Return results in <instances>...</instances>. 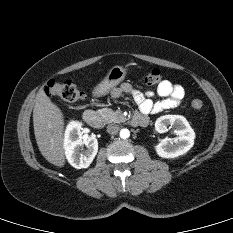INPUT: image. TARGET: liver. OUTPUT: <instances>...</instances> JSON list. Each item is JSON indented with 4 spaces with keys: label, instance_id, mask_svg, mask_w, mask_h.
Here are the masks:
<instances>
[{
    "label": "liver",
    "instance_id": "1",
    "mask_svg": "<svg viewBox=\"0 0 233 233\" xmlns=\"http://www.w3.org/2000/svg\"><path fill=\"white\" fill-rule=\"evenodd\" d=\"M33 125L36 143L43 157L51 164L63 167L65 164L63 114L42 89L35 97Z\"/></svg>",
    "mask_w": 233,
    "mask_h": 233
}]
</instances>
